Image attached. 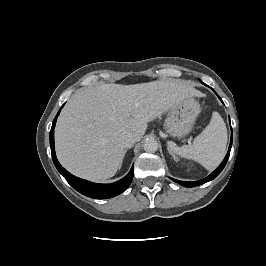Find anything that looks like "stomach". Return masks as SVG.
<instances>
[{"label":"stomach","mask_w":266,"mask_h":266,"mask_svg":"<svg viewBox=\"0 0 266 266\" xmlns=\"http://www.w3.org/2000/svg\"><path fill=\"white\" fill-rule=\"evenodd\" d=\"M201 111L198 101L189 97L172 107L164 122V129L172 137H183L189 134Z\"/></svg>","instance_id":"0dacf381"}]
</instances>
